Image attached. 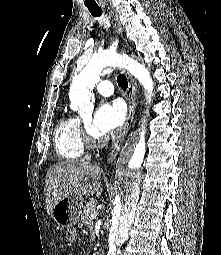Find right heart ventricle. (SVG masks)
Wrapping results in <instances>:
<instances>
[{"label":"right heart ventricle","mask_w":221,"mask_h":255,"mask_svg":"<svg viewBox=\"0 0 221 255\" xmlns=\"http://www.w3.org/2000/svg\"><path fill=\"white\" fill-rule=\"evenodd\" d=\"M54 143L57 154L62 159L67 161L82 159L87 152V144L80 118L73 115L61 117L56 126Z\"/></svg>","instance_id":"right-heart-ventricle-1"}]
</instances>
